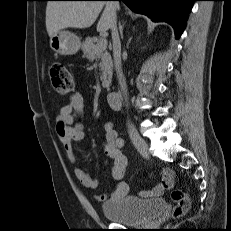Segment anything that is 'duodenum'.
<instances>
[{"mask_svg": "<svg viewBox=\"0 0 231 231\" xmlns=\"http://www.w3.org/2000/svg\"><path fill=\"white\" fill-rule=\"evenodd\" d=\"M107 102L112 109L114 110L120 109L121 108V94L116 91H110L107 94Z\"/></svg>", "mask_w": 231, "mask_h": 231, "instance_id": "obj_1", "label": "duodenum"}]
</instances>
